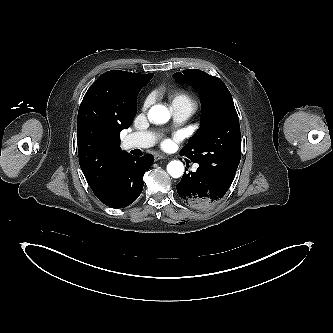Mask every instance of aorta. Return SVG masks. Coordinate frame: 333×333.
Returning <instances> with one entry per match:
<instances>
[{"instance_id":"1","label":"aorta","mask_w":333,"mask_h":333,"mask_svg":"<svg viewBox=\"0 0 333 333\" xmlns=\"http://www.w3.org/2000/svg\"><path fill=\"white\" fill-rule=\"evenodd\" d=\"M148 118L156 124H164L170 119L169 110L163 105H154L148 112ZM167 172L173 178H179L184 173V166L181 161L174 160L167 165Z\"/></svg>"}]
</instances>
